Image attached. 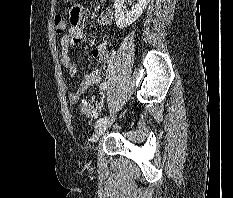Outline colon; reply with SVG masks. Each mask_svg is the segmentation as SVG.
Returning a JSON list of instances; mask_svg holds the SVG:
<instances>
[{"mask_svg":"<svg viewBox=\"0 0 233 198\" xmlns=\"http://www.w3.org/2000/svg\"><path fill=\"white\" fill-rule=\"evenodd\" d=\"M55 27L58 33H62L67 28L65 19L61 16L55 17ZM102 107V101L99 98H92L89 101H84L82 112L86 115H95Z\"/></svg>","mask_w":233,"mask_h":198,"instance_id":"1","label":"colon"}]
</instances>
